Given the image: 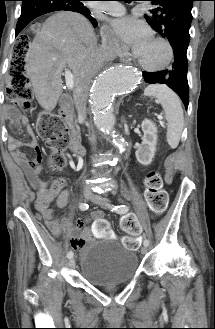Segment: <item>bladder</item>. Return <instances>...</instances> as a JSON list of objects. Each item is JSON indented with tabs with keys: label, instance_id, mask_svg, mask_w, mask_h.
Instances as JSON below:
<instances>
[{
	"label": "bladder",
	"instance_id": "1",
	"mask_svg": "<svg viewBox=\"0 0 215 329\" xmlns=\"http://www.w3.org/2000/svg\"><path fill=\"white\" fill-rule=\"evenodd\" d=\"M79 276L93 286L133 279L138 272L136 252L117 239L93 240L80 250Z\"/></svg>",
	"mask_w": 215,
	"mask_h": 329
}]
</instances>
